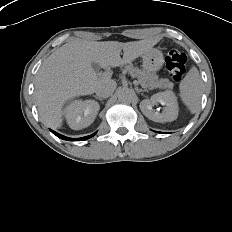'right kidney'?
<instances>
[{
	"instance_id": "right-kidney-1",
	"label": "right kidney",
	"mask_w": 232,
	"mask_h": 232,
	"mask_svg": "<svg viewBox=\"0 0 232 232\" xmlns=\"http://www.w3.org/2000/svg\"><path fill=\"white\" fill-rule=\"evenodd\" d=\"M100 106L94 100H74L64 109V116L71 129L80 130L91 125Z\"/></svg>"
}]
</instances>
